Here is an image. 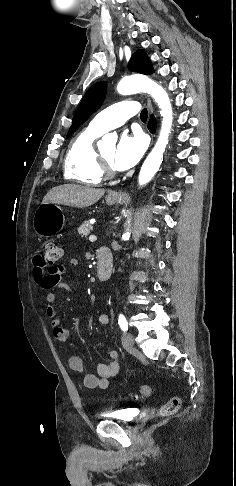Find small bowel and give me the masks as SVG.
Wrapping results in <instances>:
<instances>
[{
  "instance_id": "small-bowel-1",
  "label": "small bowel",
  "mask_w": 236,
  "mask_h": 486,
  "mask_svg": "<svg viewBox=\"0 0 236 486\" xmlns=\"http://www.w3.org/2000/svg\"><path fill=\"white\" fill-rule=\"evenodd\" d=\"M70 262L76 264L75 259H72ZM33 264L34 281L41 288L47 290L46 300L48 306L46 307L45 312L51 320L54 337L58 342L65 344L70 340L71 332L68 328L61 326V321L54 306V302L57 299L56 291L61 289L70 292L73 291L67 284L60 282L61 277L67 272V267L65 264L49 266L43 262L41 255L34 257ZM108 321L109 318L106 314H100L98 316L99 324L105 325ZM109 357L110 360L107 363L98 365L96 374L86 373L84 363L78 356H71L69 358V366L73 371L82 374L83 383L86 387L91 389H105L108 386L109 380L116 376L120 370L118 352L110 351Z\"/></svg>"
}]
</instances>
